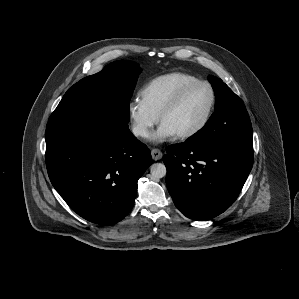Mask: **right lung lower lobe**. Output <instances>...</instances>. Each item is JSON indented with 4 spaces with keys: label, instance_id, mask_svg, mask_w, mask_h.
Masks as SVG:
<instances>
[{
    "label": "right lung lower lobe",
    "instance_id": "1",
    "mask_svg": "<svg viewBox=\"0 0 299 299\" xmlns=\"http://www.w3.org/2000/svg\"><path fill=\"white\" fill-rule=\"evenodd\" d=\"M45 139L49 178L72 210L102 225L131 211L137 181L152 158L127 122L108 114L48 122Z\"/></svg>",
    "mask_w": 299,
    "mask_h": 299
}]
</instances>
